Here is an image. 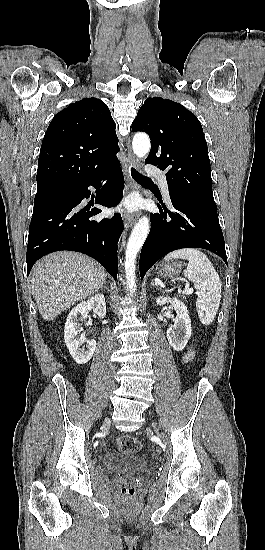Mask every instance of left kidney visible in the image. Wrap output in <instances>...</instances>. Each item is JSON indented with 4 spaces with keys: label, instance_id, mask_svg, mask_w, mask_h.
<instances>
[{
    "label": "left kidney",
    "instance_id": "obj_1",
    "mask_svg": "<svg viewBox=\"0 0 265 550\" xmlns=\"http://www.w3.org/2000/svg\"><path fill=\"white\" fill-rule=\"evenodd\" d=\"M156 303L158 305L170 303L174 307L177 316L174 319V324L167 330L166 335L173 349L182 351L191 337V319L187 306L177 298L172 299L163 296L157 297Z\"/></svg>",
    "mask_w": 265,
    "mask_h": 550
}]
</instances>
